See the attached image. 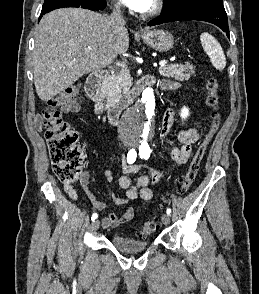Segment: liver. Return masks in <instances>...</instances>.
I'll use <instances>...</instances> for the list:
<instances>
[{"label":"liver","mask_w":259,"mask_h":294,"mask_svg":"<svg viewBox=\"0 0 259 294\" xmlns=\"http://www.w3.org/2000/svg\"><path fill=\"white\" fill-rule=\"evenodd\" d=\"M34 39V83L42 101H49L83 75L110 65L129 48L126 28L114 31L108 17L81 8L46 14Z\"/></svg>","instance_id":"liver-1"}]
</instances>
